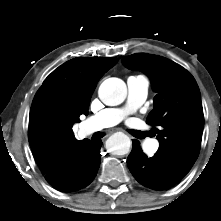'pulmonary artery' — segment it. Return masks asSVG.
<instances>
[{
	"label": "pulmonary artery",
	"mask_w": 221,
	"mask_h": 221,
	"mask_svg": "<svg viewBox=\"0 0 221 221\" xmlns=\"http://www.w3.org/2000/svg\"><path fill=\"white\" fill-rule=\"evenodd\" d=\"M128 96L126 104L121 108H107L89 117L87 121V132L97 131L112 127L120 123L132 111L141 106L147 98L149 80L143 75L130 76L127 79ZM159 143L157 140L148 139L143 143L147 153L157 151Z\"/></svg>",
	"instance_id": "pulmonary-artery-1"
}]
</instances>
